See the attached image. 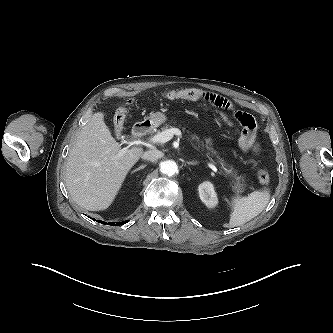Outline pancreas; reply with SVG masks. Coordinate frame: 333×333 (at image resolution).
I'll list each match as a JSON object with an SVG mask.
<instances>
[{"mask_svg":"<svg viewBox=\"0 0 333 333\" xmlns=\"http://www.w3.org/2000/svg\"><path fill=\"white\" fill-rule=\"evenodd\" d=\"M169 129V125H165L161 128L162 131H165ZM157 133H160L159 131ZM192 140L196 142V144H198V147L195 146V148H200V145L202 146V150H203V147H205L206 151H207V155L209 156H217V153L216 151H214L213 147H212V142L210 139H206L205 140V144L199 139L198 136L196 135H193L192 136ZM219 159V162L220 164L223 166L224 168V172H225V175H229L232 177V183H231V187H232V190L235 194L239 195L241 193L244 192L245 190V179L243 176H239L237 174V172L232 168L230 167L224 160Z\"/></svg>","mask_w":333,"mask_h":333,"instance_id":"pancreas-1","label":"pancreas"}]
</instances>
